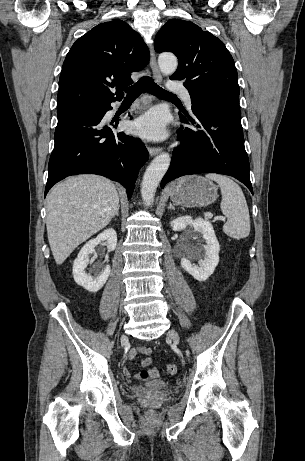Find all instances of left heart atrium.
I'll return each mask as SVG.
<instances>
[{
    "label": "left heart atrium",
    "mask_w": 305,
    "mask_h": 461,
    "mask_svg": "<svg viewBox=\"0 0 305 461\" xmlns=\"http://www.w3.org/2000/svg\"><path fill=\"white\" fill-rule=\"evenodd\" d=\"M133 130L147 139H163L167 135L166 114L159 109H153L134 122Z\"/></svg>",
    "instance_id": "obj_1"
}]
</instances>
